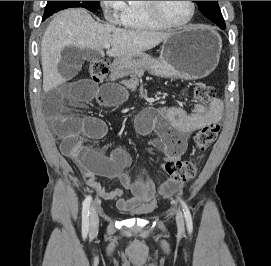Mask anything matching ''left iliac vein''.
<instances>
[{
  "mask_svg": "<svg viewBox=\"0 0 271 266\" xmlns=\"http://www.w3.org/2000/svg\"><path fill=\"white\" fill-rule=\"evenodd\" d=\"M176 223L179 229H184V219L180 210L176 211Z\"/></svg>",
  "mask_w": 271,
  "mask_h": 266,
  "instance_id": "4c4485c4",
  "label": "left iliac vein"
}]
</instances>
